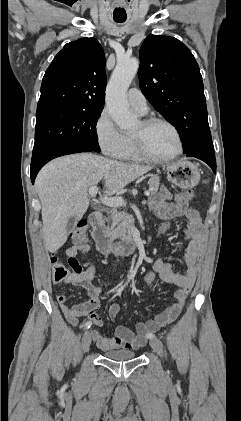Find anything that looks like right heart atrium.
<instances>
[{"mask_svg": "<svg viewBox=\"0 0 241 421\" xmlns=\"http://www.w3.org/2000/svg\"><path fill=\"white\" fill-rule=\"evenodd\" d=\"M94 131L101 151L106 156L116 158L123 143V134L117 128L107 109L100 112L94 125Z\"/></svg>", "mask_w": 241, "mask_h": 421, "instance_id": "d8ad5b80", "label": "right heart atrium"}]
</instances>
